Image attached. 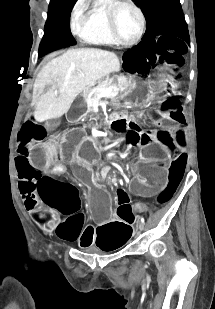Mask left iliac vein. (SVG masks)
<instances>
[{"instance_id": "1", "label": "left iliac vein", "mask_w": 215, "mask_h": 309, "mask_svg": "<svg viewBox=\"0 0 215 309\" xmlns=\"http://www.w3.org/2000/svg\"><path fill=\"white\" fill-rule=\"evenodd\" d=\"M144 223L142 222V221H140L139 223H138V229H139V231L140 232H142L143 230H144Z\"/></svg>"}]
</instances>
